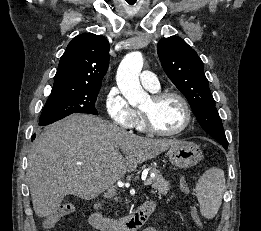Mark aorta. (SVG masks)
I'll return each instance as SVG.
<instances>
[{"label": "aorta", "mask_w": 261, "mask_h": 231, "mask_svg": "<svg viewBox=\"0 0 261 231\" xmlns=\"http://www.w3.org/2000/svg\"><path fill=\"white\" fill-rule=\"evenodd\" d=\"M143 67V56L140 52H131L121 61L116 81L117 85L130 105L137 106L143 103L148 94L139 82V74Z\"/></svg>", "instance_id": "762f6f07"}]
</instances>
